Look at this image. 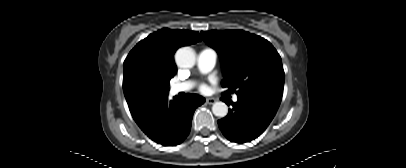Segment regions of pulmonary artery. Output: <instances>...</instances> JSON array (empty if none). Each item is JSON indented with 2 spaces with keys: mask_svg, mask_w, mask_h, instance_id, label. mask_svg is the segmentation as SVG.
<instances>
[{
  "mask_svg": "<svg viewBox=\"0 0 406 168\" xmlns=\"http://www.w3.org/2000/svg\"><path fill=\"white\" fill-rule=\"evenodd\" d=\"M217 61V53L215 50L206 48L199 52L197 57V66L200 72L208 73L210 72ZM194 83L192 81H185L182 83H177L171 86V92L173 94H178L182 92H188L192 89ZM238 97L234 96L233 100L237 101Z\"/></svg>",
  "mask_w": 406,
  "mask_h": 168,
  "instance_id": "pulmonary-artery-1",
  "label": "pulmonary artery"
}]
</instances>
